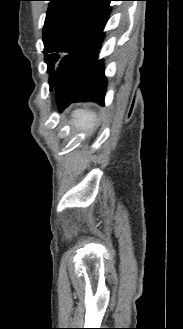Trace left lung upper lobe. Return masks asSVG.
Segmentation results:
<instances>
[{"label": "left lung upper lobe", "mask_w": 183, "mask_h": 329, "mask_svg": "<svg viewBox=\"0 0 183 329\" xmlns=\"http://www.w3.org/2000/svg\"><path fill=\"white\" fill-rule=\"evenodd\" d=\"M43 28L45 62L50 74V87L61 63L71 56L85 36L110 11L114 0H48ZM62 53H66L64 57Z\"/></svg>", "instance_id": "5c2ea615"}]
</instances>
